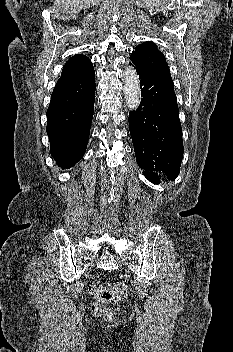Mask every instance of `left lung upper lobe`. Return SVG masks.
Listing matches in <instances>:
<instances>
[{
  "label": "left lung upper lobe",
  "mask_w": 233,
  "mask_h": 352,
  "mask_svg": "<svg viewBox=\"0 0 233 352\" xmlns=\"http://www.w3.org/2000/svg\"><path fill=\"white\" fill-rule=\"evenodd\" d=\"M130 60L136 67L145 73L173 85L166 59L157 49L155 43L144 42L136 46L130 56Z\"/></svg>",
  "instance_id": "5c2ea615"
}]
</instances>
